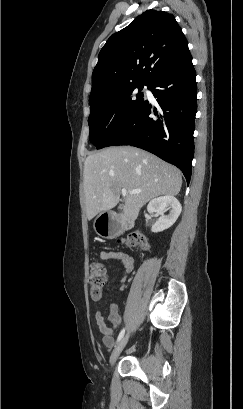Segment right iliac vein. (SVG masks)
Here are the masks:
<instances>
[{
	"label": "right iliac vein",
	"instance_id": "obj_1",
	"mask_svg": "<svg viewBox=\"0 0 243 409\" xmlns=\"http://www.w3.org/2000/svg\"><path fill=\"white\" fill-rule=\"evenodd\" d=\"M129 338V334H126L121 341L118 343V345L116 346V348L113 350L111 356H110V364H113L119 357L120 353L122 352V350L124 349V347L127 344Z\"/></svg>",
	"mask_w": 243,
	"mask_h": 409
}]
</instances>
